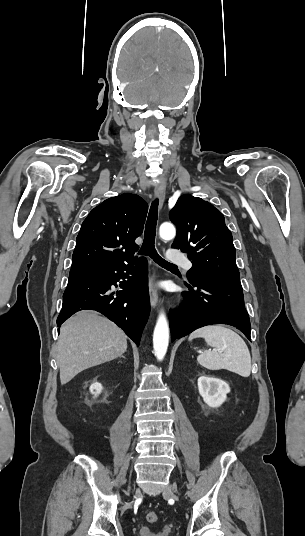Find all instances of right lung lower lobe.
Listing matches in <instances>:
<instances>
[{
	"instance_id": "right-lung-lower-lobe-1",
	"label": "right lung lower lobe",
	"mask_w": 305,
	"mask_h": 536,
	"mask_svg": "<svg viewBox=\"0 0 305 536\" xmlns=\"http://www.w3.org/2000/svg\"><path fill=\"white\" fill-rule=\"evenodd\" d=\"M125 278L128 280L125 281ZM120 279L124 280L120 284L123 290L116 295L110 293L111 286L117 287L116 282ZM86 309L107 316L139 345L150 312L147 260L134 259L100 271L69 276L57 325L60 326L77 311Z\"/></svg>"
}]
</instances>
